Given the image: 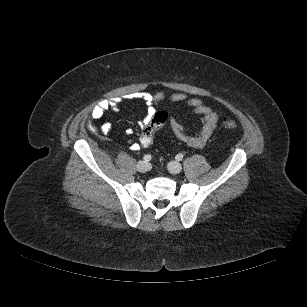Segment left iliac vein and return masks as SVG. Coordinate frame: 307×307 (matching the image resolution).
<instances>
[{"mask_svg":"<svg viewBox=\"0 0 307 307\" xmlns=\"http://www.w3.org/2000/svg\"><path fill=\"white\" fill-rule=\"evenodd\" d=\"M168 170L172 174H179L182 170V166L179 162L177 161H171L168 163Z\"/></svg>","mask_w":307,"mask_h":307,"instance_id":"1","label":"left iliac vein"}]
</instances>
